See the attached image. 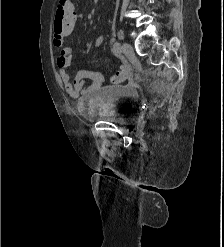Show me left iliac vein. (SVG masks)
Instances as JSON below:
<instances>
[{
    "instance_id": "left-iliac-vein-1",
    "label": "left iliac vein",
    "mask_w": 224,
    "mask_h": 247,
    "mask_svg": "<svg viewBox=\"0 0 224 247\" xmlns=\"http://www.w3.org/2000/svg\"><path fill=\"white\" fill-rule=\"evenodd\" d=\"M121 50L127 58H132L134 56V50L127 42L123 43Z\"/></svg>"
}]
</instances>
